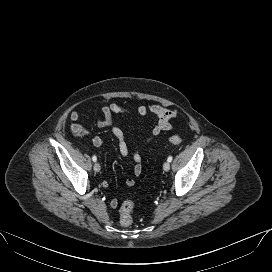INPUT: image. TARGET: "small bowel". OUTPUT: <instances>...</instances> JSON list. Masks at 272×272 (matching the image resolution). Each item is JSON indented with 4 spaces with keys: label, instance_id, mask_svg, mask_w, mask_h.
I'll return each mask as SVG.
<instances>
[{
    "label": "small bowel",
    "instance_id": "c3829d8e",
    "mask_svg": "<svg viewBox=\"0 0 272 272\" xmlns=\"http://www.w3.org/2000/svg\"><path fill=\"white\" fill-rule=\"evenodd\" d=\"M100 111L103 115L102 118H97L95 120L96 125L99 128L109 129L112 135L116 138L118 142V150L121 156L127 157L129 154V148L127 142L125 140V134L121 128L113 124L112 116L113 114H127L129 110L118 104L111 103L109 105H104L100 108ZM94 112V109L89 108L85 110V113L91 114ZM137 113L145 117L149 113H151L155 118V124L151 129L149 135L146 137L145 142L152 141L155 137H157L163 131H167L172 129L171 120L177 116V112L175 110L164 107L158 103H152L148 106L141 105L137 108ZM81 117V113L74 111L70 114V119L72 121H78ZM92 143L95 147L100 148L104 145V141L101 137L95 136L92 139ZM133 161H134V169L133 173L135 176H140L142 173V156L139 151H135L133 153ZM128 187H132L135 184V179L129 177L125 181ZM106 186V183L103 184ZM110 206L112 208H116L118 206V200L116 198L111 199Z\"/></svg>",
    "mask_w": 272,
    "mask_h": 272
}]
</instances>
